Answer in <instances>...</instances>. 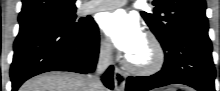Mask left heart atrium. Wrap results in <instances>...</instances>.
I'll list each match as a JSON object with an SVG mask.
<instances>
[{"label": "left heart atrium", "mask_w": 220, "mask_h": 91, "mask_svg": "<svg viewBox=\"0 0 220 91\" xmlns=\"http://www.w3.org/2000/svg\"><path fill=\"white\" fill-rule=\"evenodd\" d=\"M101 28L113 45L129 57L144 41L138 20L124 10L106 13Z\"/></svg>", "instance_id": "obj_1"}]
</instances>
